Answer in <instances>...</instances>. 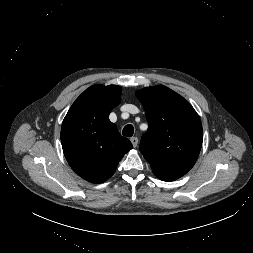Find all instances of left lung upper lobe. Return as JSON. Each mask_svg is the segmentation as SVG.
<instances>
[{"mask_svg": "<svg viewBox=\"0 0 253 253\" xmlns=\"http://www.w3.org/2000/svg\"><path fill=\"white\" fill-rule=\"evenodd\" d=\"M148 120L140 151L159 178L176 180L195 164L203 135L201 120L182 96L165 86L137 92Z\"/></svg>", "mask_w": 253, "mask_h": 253, "instance_id": "1", "label": "left lung upper lobe"}]
</instances>
